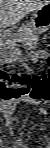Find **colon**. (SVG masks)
Returning <instances> with one entry per match:
<instances>
[{
    "label": "colon",
    "instance_id": "1",
    "mask_svg": "<svg viewBox=\"0 0 50 148\" xmlns=\"http://www.w3.org/2000/svg\"><path fill=\"white\" fill-rule=\"evenodd\" d=\"M0 80V96L4 100L48 101L50 99L48 73L30 76L1 71Z\"/></svg>",
    "mask_w": 50,
    "mask_h": 148
}]
</instances>
